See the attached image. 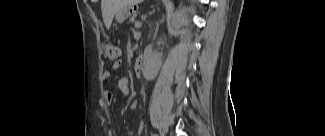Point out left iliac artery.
Segmentation results:
<instances>
[{"label":"left iliac artery","mask_w":325,"mask_h":136,"mask_svg":"<svg viewBox=\"0 0 325 136\" xmlns=\"http://www.w3.org/2000/svg\"><path fill=\"white\" fill-rule=\"evenodd\" d=\"M153 136H157V134H153Z\"/></svg>","instance_id":"left-iliac-artery-1"}]
</instances>
